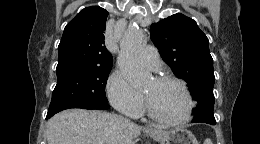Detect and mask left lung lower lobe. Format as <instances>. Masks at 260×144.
<instances>
[{
	"label": "left lung lower lobe",
	"instance_id": "left-lung-lower-lobe-1",
	"mask_svg": "<svg viewBox=\"0 0 260 144\" xmlns=\"http://www.w3.org/2000/svg\"><path fill=\"white\" fill-rule=\"evenodd\" d=\"M216 124V122L215 123H211V125H215Z\"/></svg>",
	"mask_w": 260,
	"mask_h": 144
}]
</instances>
